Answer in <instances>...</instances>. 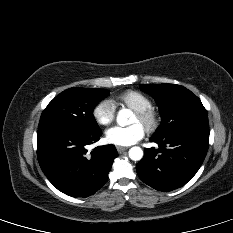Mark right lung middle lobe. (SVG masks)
<instances>
[{"mask_svg": "<svg viewBox=\"0 0 233 233\" xmlns=\"http://www.w3.org/2000/svg\"><path fill=\"white\" fill-rule=\"evenodd\" d=\"M109 91L98 88H69L55 97L42 112L38 129L65 126L85 131L100 130L92 112Z\"/></svg>", "mask_w": 233, "mask_h": 233, "instance_id": "dd1d6c3e", "label": "right lung middle lobe"}]
</instances>
